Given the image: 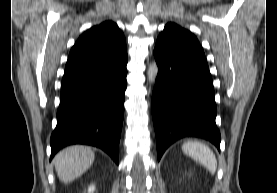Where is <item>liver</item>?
<instances>
[{
  "mask_svg": "<svg viewBox=\"0 0 277 193\" xmlns=\"http://www.w3.org/2000/svg\"><path fill=\"white\" fill-rule=\"evenodd\" d=\"M95 154L90 147L70 146L60 151L54 158L59 179L68 183L85 173L93 164Z\"/></svg>",
  "mask_w": 277,
  "mask_h": 193,
  "instance_id": "1",
  "label": "liver"
}]
</instances>
